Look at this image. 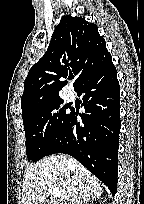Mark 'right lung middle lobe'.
Segmentation results:
<instances>
[{"label":"right lung middle lobe","mask_w":144,"mask_h":204,"mask_svg":"<svg viewBox=\"0 0 144 204\" xmlns=\"http://www.w3.org/2000/svg\"><path fill=\"white\" fill-rule=\"evenodd\" d=\"M55 98L23 116L25 145L28 159L38 161L45 157L59 136L70 113Z\"/></svg>","instance_id":"right-lung-middle-lobe-1"}]
</instances>
